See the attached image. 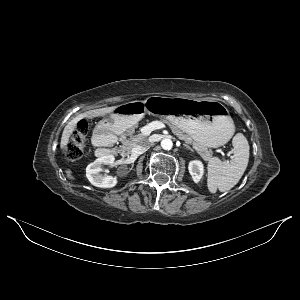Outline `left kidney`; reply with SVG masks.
I'll list each match as a JSON object with an SVG mask.
<instances>
[{
	"label": "left kidney",
	"mask_w": 300,
	"mask_h": 300,
	"mask_svg": "<svg viewBox=\"0 0 300 300\" xmlns=\"http://www.w3.org/2000/svg\"><path fill=\"white\" fill-rule=\"evenodd\" d=\"M188 169L194 182L198 183L201 180L204 173V166L202 162L199 160L191 161L189 163Z\"/></svg>",
	"instance_id": "1"
}]
</instances>
